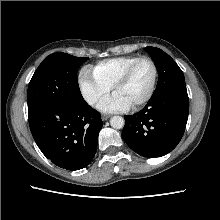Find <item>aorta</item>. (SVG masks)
Returning a JSON list of instances; mask_svg holds the SVG:
<instances>
[{
  "label": "aorta",
  "mask_w": 220,
  "mask_h": 220,
  "mask_svg": "<svg viewBox=\"0 0 220 220\" xmlns=\"http://www.w3.org/2000/svg\"><path fill=\"white\" fill-rule=\"evenodd\" d=\"M110 124L114 129H121L124 127L125 121L121 116H113L110 119Z\"/></svg>",
  "instance_id": "762f6f07"
}]
</instances>
